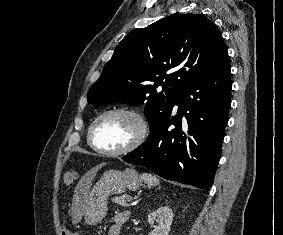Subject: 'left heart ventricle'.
<instances>
[{"instance_id": "left-heart-ventricle-1", "label": "left heart ventricle", "mask_w": 283, "mask_h": 235, "mask_svg": "<svg viewBox=\"0 0 283 235\" xmlns=\"http://www.w3.org/2000/svg\"><path fill=\"white\" fill-rule=\"evenodd\" d=\"M137 129V123L128 115H108L96 125L93 141L101 149L117 150L132 141Z\"/></svg>"}]
</instances>
